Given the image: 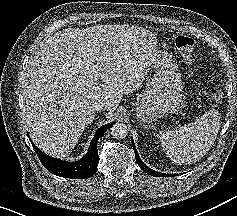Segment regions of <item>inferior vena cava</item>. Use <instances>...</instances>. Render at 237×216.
I'll return each instance as SVG.
<instances>
[{
    "label": "inferior vena cava",
    "instance_id": "602c4592",
    "mask_svg": "<svg viewBox=\"0 0 237 216\" xmlns=\"http://www.w3.org/2000/svg\"><path fill=\"white\" fill-rule=\"evenodd\" d=\"M117 105L109 102L108 100L101 99L97 102L96 109L102 111H115Z\"/></svg>",
    "mask_w": 237,
    "mask_h": 216
}]
</instances>
